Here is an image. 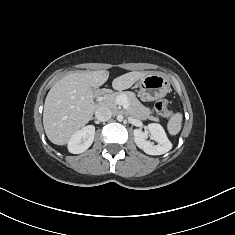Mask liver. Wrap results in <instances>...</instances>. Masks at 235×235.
Wrapping results in <instances>:
<instances>
[{"label": "liver", "instance_id": "liver-1", "mask_svg": "<svg viewBox=\"0 0 235 235\" xmlns=\"http://www.w3.org/2000/svg\"><path fill=\"white\" fill-rule=\"evenodd\" d=\"M146 75L138 71L123 74L113 80L112 87L118 91L128 89ZM108 77L106 70L72 72L51 87L44 103L43 126L52 143L67 144L92 119L95 111L92 88L103 85Z\"/></svg>", "mask_w": 235, "mask_h": 235}]
</instances>
